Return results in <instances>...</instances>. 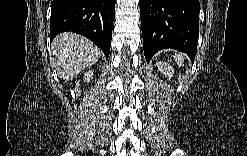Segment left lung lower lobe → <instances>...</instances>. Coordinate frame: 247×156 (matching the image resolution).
Returning <instances> with one entry per match:
<instances>
[{
    "label": "left lung lower lobe",
    "instance_id": "left-lung-lower-lobe-1",
    "mask_svg": "<svg viewBox=\"0 0 247 156\" xmlns=\"http://www.w3.org/2000/svg\"><path fill=\"white\" fill-rule=\"evenodd\" d=\"M143 49L147 62L166 48L194 61L199 36V0H139Z\"/></svg>",
    "mask_w": 247,
    "mask_h": 156
}]
</instances>
